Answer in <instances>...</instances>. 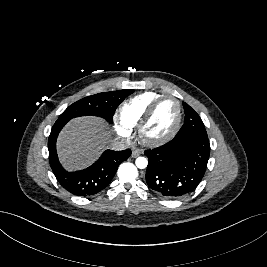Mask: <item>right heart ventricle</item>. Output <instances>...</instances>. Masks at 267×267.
<instances>
[{
  "instance_id": "obj_1",
  "label": "right heart ventricle",
  "mask_w": 267,
  "mask_h": 267,
  "mask_svg": "<svg viewBox=\"0 0 267 267\" xmlns=\"http://www.w3.org/2000/svg\"><path fill=\"white\" fill-rule=\"evenodd\" d=\"M161 93L147 91L127 99L119 110V118L130 129L137 127L144 112Z\"/></svg>"
}]
</instances>
